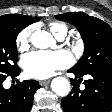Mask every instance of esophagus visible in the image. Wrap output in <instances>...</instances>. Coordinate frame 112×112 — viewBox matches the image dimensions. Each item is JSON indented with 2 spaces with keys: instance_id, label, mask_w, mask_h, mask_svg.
<instances>
[{
  "instance_id": "obj_1",
  "label": "esophagus",
  "mask_w": 112,
  "mask_h": 112,
  "mask_svg": "<svg viewBox=\"0 0 112 112\" xmlns=\"http://www.w3.org/2000/svg\"><path fill=\"white\" fill-rule=\"evenodd\" d=\"M49 83H50V80H41V81H39V84H40L41 86L48 85Z\"/></svg>"
}]
</instances>
